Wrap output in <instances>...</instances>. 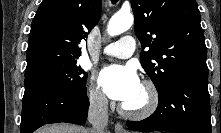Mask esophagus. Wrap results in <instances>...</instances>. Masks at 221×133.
I'll return each mask as SVG.
<instances>
[{"mask_svg":"<svg viewBox=\"0 0 221 133\" xmlns=\"http://www.w3.org/2000/svg\"><path fill=\"white\" fill-rule=\"evenodd\" d=\"M115 133H128L122 126L121 123L115 124Z\"/></svg>","mask_w":221,"mask_h":133,"instance_id":"obj_1","label":"esophagus"}]
</instances>
